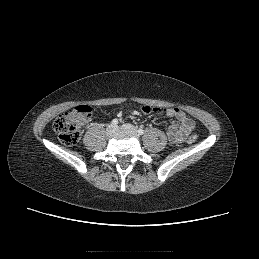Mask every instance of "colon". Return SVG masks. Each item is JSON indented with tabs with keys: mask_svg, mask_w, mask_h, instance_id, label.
<instances>
[{
	"mask_svg": "<svg viewBox=\"0 0 259 259\" xmlns=\"http://www.w3.org/2000/svg\"><path fill=\"white\" fill-rule=\"evenodd\" d=\"M91 115L92 109L87 105H80L60 114L53 124L59 140L67 146L75 145L80 140L82 128L89 121ZM187 141L193 144L197 141V136L191 135Z\"/></svg>",
	"mask_w": 259,
	"mask_h": 259,
	"instance_id": "5ec220e1",
	"label": "colon"
}]
</instances>
